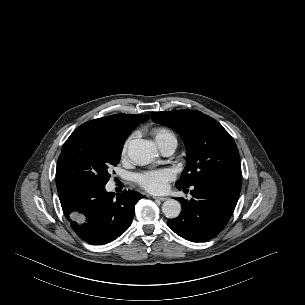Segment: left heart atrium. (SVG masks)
I'll list each match as a JSON object with an SVG mask.
<instances>
[{"label": "left heart atrium", "mask_w": 305, "mask_h": 305, "mask_svg": "<svg viewBox=\"0 0 305 305\" xmlns=\"http://www.w3.org/2000/svg\"><path fill=\"white\" fill-rule=\"evenodd\" d=\"M173 178V172L165 169L142 173L137 176V182L147 191L159 193L166 189L167 183Z\"/></svg>", "instance_id": "left-heart-atrium-1"}]
</instances>
